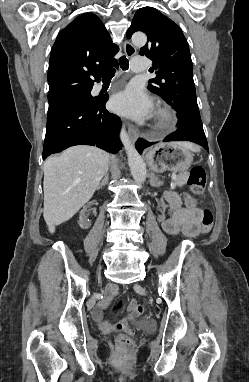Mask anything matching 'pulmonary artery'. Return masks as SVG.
Segmentation results:
<instances>
[{"instance_id": "obj_1", "label": "pulmonary artery", "mask_w": 249, "mask_h": 382, "mask_svg": "<svg viewBox=\"0 0 249 382\" xmlns=\"http://www.w3.org/2000/svg\"><path fill=\"white\" fill-rule=\"evenodd\" d=\"M131 68L134 71H144L148 68L147 59L145 57H135L131 60ZM101 87V85H100Z\"/></svg>"}]
</instances>
